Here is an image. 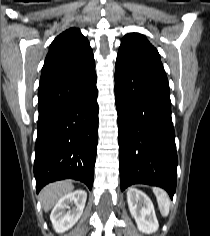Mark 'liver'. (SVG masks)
<instances>
[{
	"instance_id": "6515ba94",
	"label": "liver",
	"mask_w": 210,
	"mask_h": 236,
	"mask_svg": "<svg viewBox=\"0 0 210 236\" xmlns=\"http://www.w3.org/2000/svg\"><path fill=\"white\" fill-rule=\"evenodd\" d=\"M74 189L71 181H58L45 186L40 192V200L45 212L52 207L62 197L69 194Z\"/></svg>"
}]
</instances>
